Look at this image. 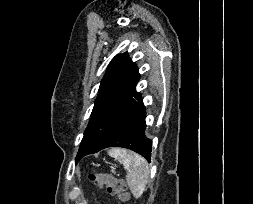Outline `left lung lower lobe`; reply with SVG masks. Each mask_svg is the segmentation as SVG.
<instances>
[{
  "instance_id": "1",
  "label": "left lung lower lobe",
  "mask_w": 253,
  "mask_h": 204,
  "mask_svg": "<svg viewBox=\"0 0 253 204\" xmlns=\"http://www.w3.org/2000/svg\"><path fill=\"white\" fill-rule=\"evenodd\" d=\"M145 116L142 97L135 90L88 124L76 162L108 147L131 149L150 162L152 141L145 136Z\"/></svg>"
}]
</instances>
